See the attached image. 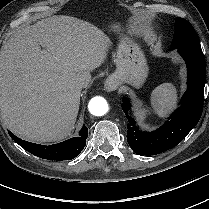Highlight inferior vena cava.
Masks as SVG:
<instances>
[{"instance_id": "obj_1", "label": "inferior vena cava", "mask_w": 209, "mask_h": 209, "mask_svg": "<svg viewBox=\"0 0 209 209\" xmlns=\"http://www.w3.org/2000/svg\"><path fill=\"white\" fill-rule=\"evenodd\" d=\"M84 87V84L82 82H78L76 85H75V89L81 93V90L82 88Z\"/></svg>"}]
</instances>
